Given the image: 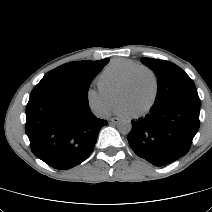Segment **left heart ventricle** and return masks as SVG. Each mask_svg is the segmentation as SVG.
Segmentation results:
<instances>
[{
  "instance_id": "b2bd125f",
  "label": "left heart ventricle",
  "mask_w": 212,
  "mask_h": 212,
  "mask_svg": "<svg viewBox=\"0 0 212 212\" xmlns=\"http://www.w3.org/2000/svg\"><path fill=\"white\" fill-rule=\"evenodd\" d=\"M153 83L147 73H139L133 84L120 95V100L127 104L133 113L142 110L150 101Z\"/></svg>"
}]
</instances>
